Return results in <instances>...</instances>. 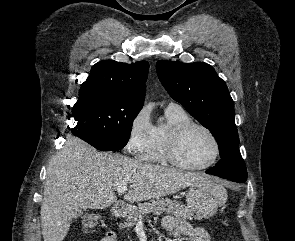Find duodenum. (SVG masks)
Instances as JSON below:
<instances>
[{
  "mask_svg": "<svg viewBox=\"0 0 295 241\" xmlns=\"http://www.w3.org/2000/svg\"><path fill=\"white\" fill-rule=\"evenodd\" d=\"M125 205L123 203H115L112 206V212L115 216H121L124 214Z\"/></svg>",
  "mask_w": 295,
  "mask_h": 241,
  "instance_id": "410a0bca",
  "label": "duodenum"
}]
</instances>
